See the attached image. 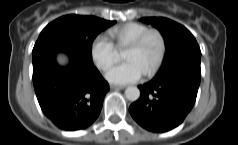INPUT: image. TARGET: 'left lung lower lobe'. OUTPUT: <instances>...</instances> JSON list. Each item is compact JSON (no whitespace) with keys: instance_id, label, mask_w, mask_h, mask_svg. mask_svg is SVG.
<instances>
[{"instance_id":"left-lung-lower-lobe-1","label":"left lung lower lobe","mask_w":238,"mask_h":145,"mask_svg":"<svg viewBox=\"0 0 238 145\" xmlns=\"http://www.w3.org/2000/svg\"><path fill=\"white\" fill-rule=\"evenodd\" d=\"M201 79L200 59H191L159 70L139 86L140 98L129 107L133 119L152 132L180 125L193 108Z\"/></svg>"}]
</instances>
